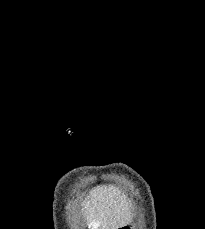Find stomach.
<instances>
[{"instance_id": "1", "label": "stomach", "mask_w": 205, "mask_h": 229, "mask_svg": "<svg viewBox=\"0 0 205 229\" xmlns=\"http://www.w3.org/2000/svg\"><path fill=\"white\" fill-rule=\"evenodd\" d=\"M120 229H137V224L135 222L129 221L122 226L119 227Z\"/></svg>"}]
</instances>
